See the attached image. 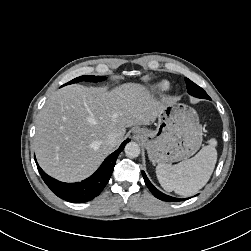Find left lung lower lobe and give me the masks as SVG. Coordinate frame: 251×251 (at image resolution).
<instances>
[{"mask_svg":"<svg viewBox=\"0 0 251 251\" xmlns=\"http://www.w3.org/2000/svg\"><path fill=\"white\" fill-rule=\"evenodd\" d=\"M142 175H143L145 184L147 185V187L149 188V190L152 192V194L155 197H157L158 199L163 200V201H168V202H177V201H181L182 200V199H179V198H174V197L168 196V195L160 192L158 189H156L152 185V183L149 181V179L147 178V176H146V174H145L144 171H142Z\"/></svg>","mask_w":251,"mask_h":251,"instance_id":"obj_1","label":"left lung lower lobe"}]
</instances>
